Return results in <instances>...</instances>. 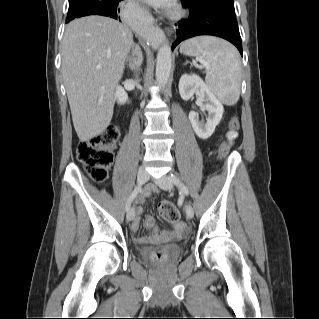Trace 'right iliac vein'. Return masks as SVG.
Here are the masks:
<instances>
[{"label": "right iliac vein", "mask_w": 319, "mask_h": 319, "mask_svg": "<svg viewBox=\"0 0 319 319\" xmlns=\"http://www.w3.org/2000/svg\"><path fill=\"white\" fill-rule=\"evenodd\" d=\"M148 180V173L145 170H139L138 174H137V181L139 185H143L145 182H147ZM135 216V212L134 209L131 208L128 212H127V219L129 221L133 220Z\"/></svg>", "instance_id": "right-iliac-vein-1"}]
</instances>
